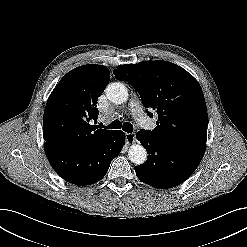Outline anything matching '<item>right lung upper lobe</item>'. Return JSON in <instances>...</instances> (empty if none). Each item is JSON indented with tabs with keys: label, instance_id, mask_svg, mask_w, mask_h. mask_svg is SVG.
<instances>
[{
	"label": "right lung upper lobe",
	"instance_id": "cb5924a9",
	"mask_svg": "<svg viewBox=\"0 0 247 247\" xmlns=\"http://www.w3.org/2000/svg\"><path fill=\"white\" fill-rule=\"evenodd\" d=\"M102 65L79 66L63 76L50 94L43 117L45 144L82 152L96 146L115 130L98 129L97 99L109 83Z\"/></svg>",
	"mask_w": 247,
	"mask_h": 247
}]
</instances>
